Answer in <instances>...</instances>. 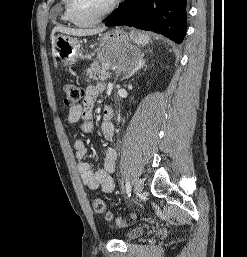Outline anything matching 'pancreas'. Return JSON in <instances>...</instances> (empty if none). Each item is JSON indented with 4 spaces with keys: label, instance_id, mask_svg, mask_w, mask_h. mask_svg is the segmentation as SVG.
I'll list each match as a JSON object with an SVG mask.
<instances>
[{
    "label": "pancreas",
    "instance_id": "cf45deb5",
    "mask_svg": "<svg viewBox=\"0 0 247 257\" xmlns=\"http://www.w3.org/2000/svg\"><path fill=\"white\" fill-rule=\"evenodd\" d=\"M112 67L110 64H106L105 62H102L99 64V62L95 61L92 63L91 67L87 69L86 75L93 80H105L110 77V73L107 72Z\"/></svg>",
    "mask_w": 247,
    "mask_h": 257
}]
</instances>
